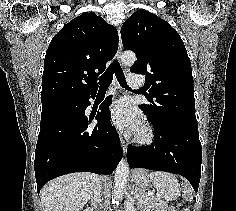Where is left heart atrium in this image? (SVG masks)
<instances>
[{
  "mask_svg": "<svg viewBox=\"0 0 236 211\" xmlns=\"http://www.w3.org/2000/svg\"><path fill=\"white\" fill-rule=\"evenodd\" d=\"M109 115L112 122L120 128L136 129L139 126L137 112L126 98H120L112 103Z\"/></svg>",
  "mask_w": 236,
  "mask_h": 211,
  "instance_id": "39dd6f15",
  "label": "left heart atrium"
}]
</instances>
